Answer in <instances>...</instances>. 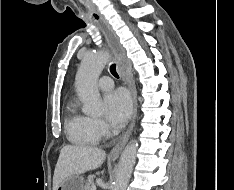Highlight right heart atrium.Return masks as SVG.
Listing matches in <instances>:
<instances>
[{
	"instance_id": "obj_1",
	"label": "right heart atrium",
	"mask_w": 234,
	"mask_h": 190,
	"mask_svg": "<svg viewBox=\"0 0 234 190\" xmlns=\"http://www.w3.org/2000/svg\"><path fill=\"white\" fill-rule=\"evenodd\" d=\"M92 124L96 132L99 134L100 137L105 136L109 132L108 125L99 118H92Z\"/></svg>"
}]
</instances>
